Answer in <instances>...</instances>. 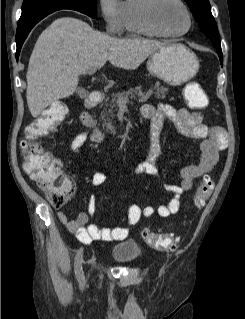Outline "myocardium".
Wrapping results in <instances>:
<instances>
[{"mask_svg": "<svg viewBox=\"0 0 245 319\" xmlns=\"http://www.w3.org/2000/svg\"><path fill=\"white\" fill-rule=\"evenodd\" d=\"M161 1L162 0H144V3L141 7V16L144 25L154 33L164 37L175 38L187 34L193 24V17L188 6L183 2V0H173L185 11L188 18V25L186 29L181 32H170L167 31L156 18V8Z\"/></svg>", "mask_w": 245, "mask_h": 319, "instance_id": "obj_1", "label": "myocardium"}]
</instances>
